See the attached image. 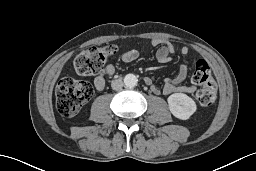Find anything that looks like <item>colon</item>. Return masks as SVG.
I'll return each instance as SVG.
<instances>
[{
  "mask_svg": "<svg viewBox=\"0 0 256 171\" xmlns=\"http://www.w3.org/2000/svg\"><path fill=\"white\" fill-rule=\"evenodd\" d=\"M114 52L113 45L103 48L91 47L74 59L73 68L77 74L82 76L97 75ZM192 80L201 86L197 92L199 103L203 106L212 105L216 99L217 86L206 61L196 62ZM92 96V86L84 81L67 77L61 79L56 87L57 108L66 117L75 115Z\"/></svg>",
  "mask_w": 256,
  "mask_h": 171,
  "instance_id": "colon-1",
  "label": "colon"
}]
</instances>
